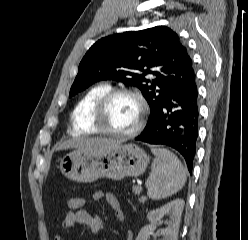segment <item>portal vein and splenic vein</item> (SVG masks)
Masks as SVG:
<instances>
[{
  "instance_id": "18ae733b",
  "label": "portal vein and splenic vein",
  "mask_w": 248,
  "mask_h": 240,
  "mask_svg": "<svg viewBox=\"0 0 248 240\" xmlns=\"http://www.w3.org/2000/svg\"><path fill=\"white\" fill-rule=\"evenodd\" d=\"M137 188L142 190V187L141 186H137Z\"/></svg>"
}]
</instances>
